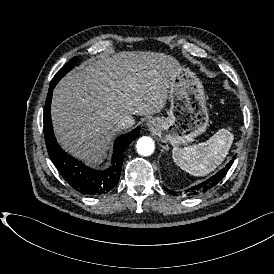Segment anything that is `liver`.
I'll return each mask as SVG.
<instances>
[{
    "label": "liver",
    "mask_w": 274,
    "mask_h": 274,
    "mask_svg": "<svg viewBox=\"0 0 274 274\" xmlns=\"http://www.w3.org/2000/svg\"><path fill=\"white\" fill-rule=\"evenodd\" d=\"M179 62L164 53H102L82 62L58 83L51 104L60 145L86 165L106 158L124 115L159 113Z\"/></svg>",
    "instance_id": "liver-1"
}]
</instances>
